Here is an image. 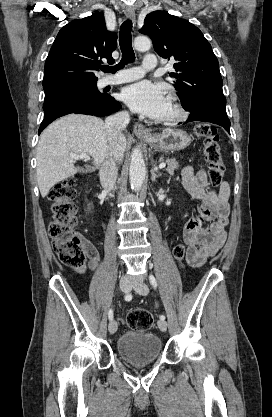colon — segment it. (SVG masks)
<instances>
[{"label": "colon", "instance_id": "colon-1", "mask_svg": "<svg viewBox=\"0 0 272 417\" xmlns=\"http://www.w3.org/2000/svg\"><path fill=\"white\" fill-rule=\"evenodd\" d=\"M195 134L204 139V156L208 166L209 180L213 185H219L223 179L224 165L218 144L217 129L211 124L200 123L195 126ZM75 194L73 178H67L50 189L48 198L51 202V218L48 233L61 262L70 266H81L85 261L87 247L86 243L74 232L76 207L72 200ZM186 251L184 244H178L173 249V256L181 263ZM153 324L154 316L147 309H136L127 315V325L134 330L147 331Z\"/></svg>", "mask_w": 272, "mask_h": 417}]
</instances>
